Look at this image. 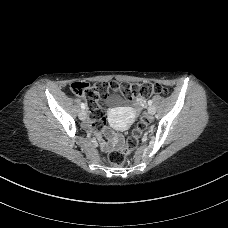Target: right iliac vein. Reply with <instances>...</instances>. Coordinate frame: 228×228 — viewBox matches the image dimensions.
<instances>
[{"label":"right iliac vein","mask_w":228,"mask_h":228,"mask_svg":"<svg viewBox=\"0 0 228 228\" xmlns=\"http://www.w3.org/2000/svg\"><path fill=\"white\" fill-rule=\"evenodd\" d=\"M78 116H79L80 120H85L86 117H87V114H86V112L84 110H81L79 112Z\"/></svg>","instance_id":"63e3f726"}]
</instances>
